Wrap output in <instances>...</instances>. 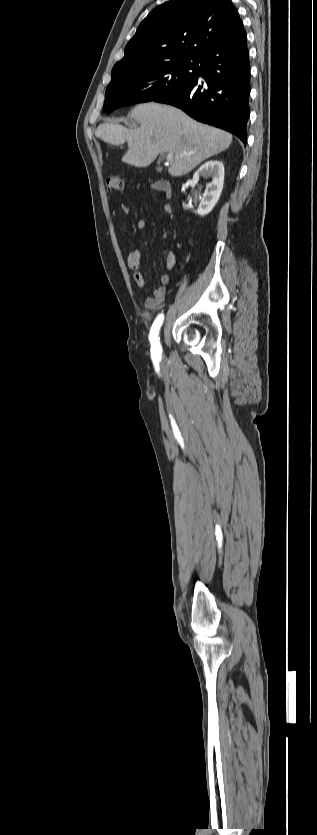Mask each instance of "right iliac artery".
Returning a JSON list of instances; mask_svg holds the SVG:
<instances>
[{"label":"right iliac artery","mask_w":317,"mask_h":835,"mask_svg":"<svg viewBox=\"0 0 317 835\" xmlns=\"http://www.w3.org/2000/svg\"><path fill=\"white\" fill-rule=\"evenodd\" d=\"M163 320H164V315L159 314L156 317V319H155V321H154V323L151 327L150 334H149V340H150V343H151V355H152V358L155 359V360H159L160 357H161L162 348H161V345H160V342H159L158 334H159L160 327L163 323Z\"/></svg>","instance_id":"right-iliac-artery-1"}]
</instances>
